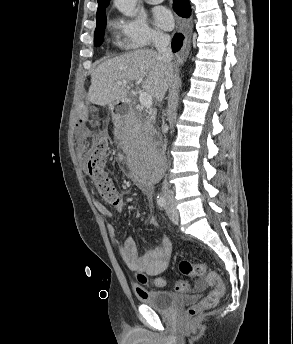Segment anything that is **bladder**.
Instances as JSON below:
<instances>
[{"label": "bladder", "instance_id": "31cf9c89", "mask_svg": "<svg viewBox=\"0 0 293 344\" xmlns=\"http://www.w3.org/2000/svg\"><path fill=\"white\" fill-rule=\"evenodd\" d=\"M185 295L173 291L146 290L142 302L155 310L168 311L186 300Z\"/></svg>", "mask_w": 293, "mask_h": 344}]
</instances>
